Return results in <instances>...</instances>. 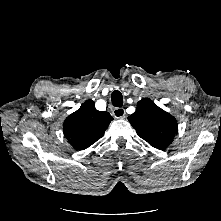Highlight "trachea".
Wrapping results in <instances>:
<instances>
[{
    "label": "trachea",
    "mask_w": 221,
    "mask_h": 221,
    "mask_svg": "<svg viewBox=\"0 0 221 221\" xmlns=\"http://www.w3.org/2000/svg\"><path fill=\"white\" fill-rule=\"evenodd\" d=\"M111 102H112L113 106H115V107H122V105H123V96H122L120 91L115 90L111 94Z\"/></svg>",
    "instance_id": "trachea-1"
}]
</instances>
